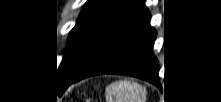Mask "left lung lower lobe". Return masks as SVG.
Instances as JSON below:
<instances>
[{"label": "left lung lower lobe", "instance_id": "1", "mask_svg": "<svg viewBox=\"0 0 221 102\" xmlns=\"http://www.w3.org/2000/svg\"><path fill=\"white\" fill-rule=\"evenodd\" d=\"M150 18L146 7L138 3L80 71L63 82V89L98 74L129 75L159 86L158 60L152 51L157 33L150 26Z\"/></svg>", "mask_w": 221, "mask_h": 102}]
</instances>
